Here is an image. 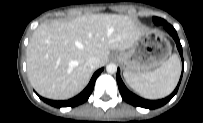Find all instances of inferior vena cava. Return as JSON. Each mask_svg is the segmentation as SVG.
<instances>
[{"label":"inferior vena cava","mask_w":203,"mask_h":123,"mask_svg":"<svg viewBox=\"0 0 203 123\" xmlns=\"http://www.w3.org/2000/svg\"><path fill=\"white\" fill-rule=\"evenodd\" d=\"M87 66H89L91 69H95L99 66V59L95 56H90L86 60Z\"/></svg>","instance_id":"inferior-vena-cava-1"}]
</instances>
